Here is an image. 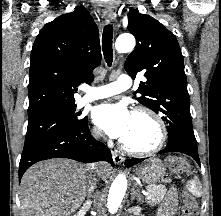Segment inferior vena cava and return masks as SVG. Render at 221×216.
I'll return each instance as SVG.
<instances>
[{"mask_svg": "<svg viewBox=\"0 0 221 216\" xmlns=\"http://www.w3.org/2000/svg\"><path fill=\"white\" fill-rule=\"evenodd\" d=\"M101 134L99 133V132H96L95 134H94V136L97 138V137H99Z\"/></svg>", "mask_w": 221, "mask_h": 216, "instance_id": "obj_1", "label": "inferior vena cava"}]
</instances>
